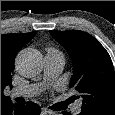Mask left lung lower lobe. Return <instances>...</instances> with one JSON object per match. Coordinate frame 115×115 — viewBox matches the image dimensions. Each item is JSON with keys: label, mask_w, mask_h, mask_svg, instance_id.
Listing matches in <instances>:
<instances>
[{"label": "left lung lower lobe", "mask_w": 115, "mask_h": 115, "mask_svg": "<svg viewBox=\"0 0 115 115\" xmlns=\"http://www.w3.org/2000/svg\"><path fill=\"white\" fill-rule=\"evenodd\" d=\"M63 114H64V115H70V113H68V112H66V111H64ZM78 115H87V114H85V113H79Z\"/></svg>", "instance_id": "0a47b994"}]
</instances>
